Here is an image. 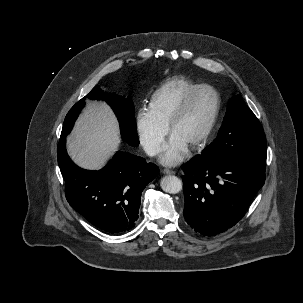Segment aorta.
I'll use <instances>...</instances> for the list:
<instances>
[{
	"label": "aorta",
	"instance_id": "obj_1",
	"mask_svg": "<svg viewBox=\"0 0 303 303\" xmlns=\"http://www.w3.org/2000/svg\"><path fill=\"white\" fill-rule=\"evenodd\" d=\"M160 186L163 191L176 194L182 190V181L176 176H165L161 179Z\"/></svg>",
	"mask_w": 303,
	"mask_h": 303
}]
</instances>
